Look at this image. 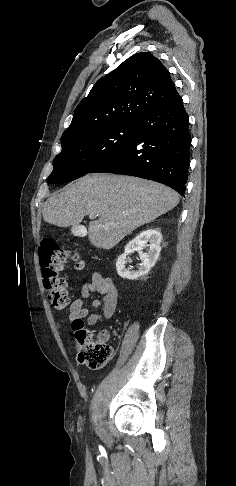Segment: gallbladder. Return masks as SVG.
Returning <instances> with one entry per match:
<instances>
[{
  "label": "gallbladder",
  "instance_id": "obj_1",
  "mask_svg": "<svg viewBox=\"0 0 236 486\" xmlns=\"http://www.w3.org/2000/svg\"><path fill=\"white\" fill-rule=\"evenodd\" d=\"M83 227L82 226H79V225H73L72 228H71V231L74 235H78L79 234V231L82 230Z\"/></svg>",
  "mask_w": 236,
  "mask_h": 486
}]
</instances>
